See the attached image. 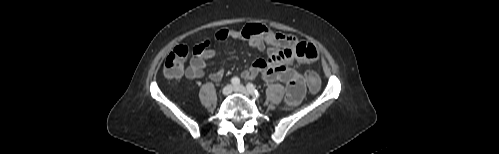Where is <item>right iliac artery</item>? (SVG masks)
<instances>
[{
  "label": "right iliac artery",
  "mask_w": 499,
  "mask_h": 154,
  "mask_svg": "<svg viewBox=\"0 0 499 154\" xmlns=\"http://www.w3.org/2000/svg\"><path fill=\"white\" fill-rule=\"evenodd\" d=\"M231 82H232V84H233L234 86H237V85H239V84H240V79H239L238 77H233V78L231 79Z\"/></svg>",
  "instance_id": "right-iliac-artery-1"
}]
</instances>
